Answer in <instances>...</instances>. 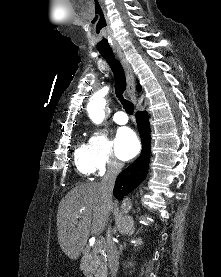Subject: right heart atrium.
Here are the masks:
<instances>
[{"instance_id":"right-heart-atrium-1","label":"right heart atrium","mask_w":221,"mask_h":277,"mask_svg":"<svg viewBox=\"0 0 221 277\" xmlns=\"http://www.w3.org/2000/svg\"><path fill=\"white\" fill-rule=\"evenodd\" d=\"M90 158L94 172L103 174L106 172L117 171L121 163L114 155L112 143L108 136L96 131L89 140Z\"/></svg>"}]
</instances>
